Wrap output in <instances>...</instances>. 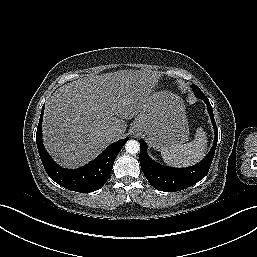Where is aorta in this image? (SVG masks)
<instances>
[{"label":"aorta","mask_w":257,"mask_h":257,"mask_svg":"<svg viewBox=\"0 0 257 257\" xmlns=\"http://www.w3.org/2000/svg\"><path fill=\"white\" fill-rule=\"evenodd\" d=\"M126 152L136 154L140 150V144L136 140H129L125 144Z\"/></svg>","instance_id":"762f6f07"}]
</instances>
